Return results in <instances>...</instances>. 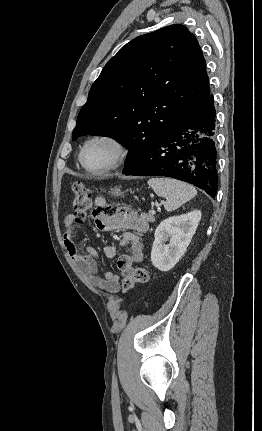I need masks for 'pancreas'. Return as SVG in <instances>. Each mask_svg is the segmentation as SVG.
Listing matches in <instances>:
<instances>
[{
    "mask_svg": "<svg viewBox=\"0 0 262 431\" xmlns=\"http://www.w3.org/2000/svg\"><path fill=\"white\" fill-rule=\"evenodd\" d=\"M147 222L149 221V222H153V220H154V218H153V216L152 215H149V216H147L146 217V219H145Z\"/></svg>",
    "mask_w": 262,
    "mask_h": 431,
    "instance_id": "pancreas-1",
    "label": "pancreas"
}]
</instances>
